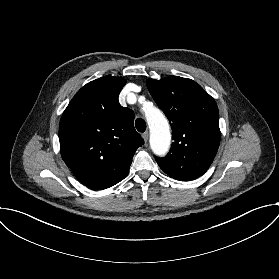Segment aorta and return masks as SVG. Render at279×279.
Segmentation results:
<instances>
[{"instance_id":"obj_1","label":"aorta","mask_w":279,"mask_h":279,"mask_svg":"<svg viewBox=\"0 0 279 279\" xmlns=\"http://www.w3.org/2000/svg\"><path fill=\"white\" fill-rule=\"evenodd\" d=\"M146 118L151 130L150 144L156 155H164L170 146L169 124L163 113L155 108L146 113Z\"/></svg>"}]
</instances>
